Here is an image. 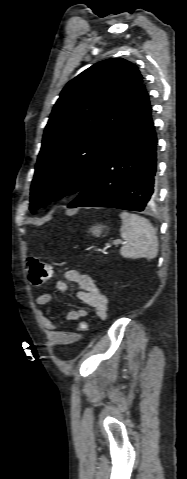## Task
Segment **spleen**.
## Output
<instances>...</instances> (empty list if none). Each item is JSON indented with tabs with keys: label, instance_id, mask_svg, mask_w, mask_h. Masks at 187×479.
<instances>
[{
	"label": "spleen",
	"instance_id": "1",
	"mask_svg": "<svg viewBox=\"0 0 187 479\" xmlns=\"http://www.w3.org/2000/svg\"><path fill=\"white\" fill-rule=\"evenodd\" d=\"M121 237L125 240L120 254L124 258L136 259L156 258L158 254V238L156 230L149 220L137 214L122 212Z\"/></svg>",
	"mask_w": 187,
	"mask_h": 479
}]
</instances>
